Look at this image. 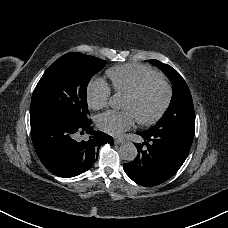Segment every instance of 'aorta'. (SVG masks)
Segmentation results:
<instances>
[{
    "label": "aorta",
    "instance_id": "762f6f07",
    "mask_svg": "<svg viewBox=\"0 0 228 228\" xmlns=\"http://www.w3.org/2000/svg\"><path fill=\"white\" fill-rule=\"evenodd\" d=\"M122 105L121 96L118 94L110 98V106L114 109L120 108ZM119 153L122 159L131 162L137 156V148L132 142H125L120 146Z\"/></svg>",
    "mask_w": 228,
    "mask_h": 228
}]
</instances>
